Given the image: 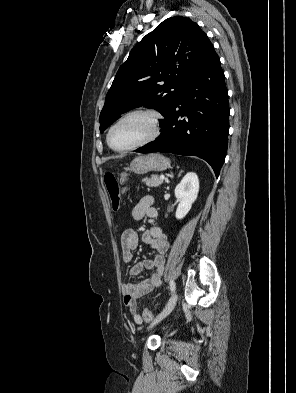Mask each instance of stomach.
<instances>
[{
  "label": "stomach",
  "mask_w": 296,
  "mask_h": 393,
  "mask_svg": "<svg viewBox=\"0 0 296 393\" xmlns=\"http://www.w3.org/2000/svg\"><path fill=\"white\" fill-rule=\"evenodd\" d=\"M170 167V160L161 154H149L139 156L133 159L130 166L126 168V172H133L139 175L146 174L149 171H163ZM122 172L120 174V183L123 184L128 180V174Z\"/></svg>",
  "instance_id": "stomach-1"
}]
</instances>
